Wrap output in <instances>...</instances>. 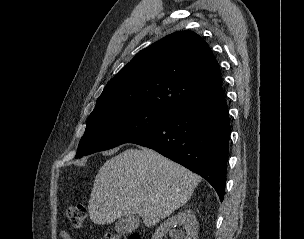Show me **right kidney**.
I'll use <instances>...</instances> for the list:
<instances>
[{
	"mask_svg": "<svg viewBox=\"0 0 304 239\" xmlns=\"http://www.w3.org/2000/svg\"><path fill=\"white\" fill-rule=\"evenodd\" d=\"M176 226H183L186 231L172 230ZM198 229L199 224L194 213L190 209H187L178 212L163 222L156 229L152 239H162L167 232L171 233L172 239H198Z\"/></svg>",
	"mask_w": 304,
	"mask_h": 239,
	"instance_id": "ca27d5eb",
	"label": "right kidney"
}]
</instances>
